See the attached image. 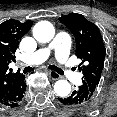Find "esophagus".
Masks as SVG:
<instances>
[{"mask_svg":"<svg viewBox=\"0 0 117 117\" xmlns=\"http://www.w3.org/2000/svg\"><path fill=\"white\" fill-rule=\"evenodd\" d=\"M49 76L53 80H58L60 78V75L54 71H49Z\"/></svg>","mask_w":117,"mask_h":117,"instance_id":"34e87169","label":"esophagus"}]
</instances>
